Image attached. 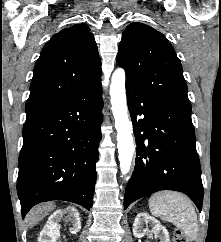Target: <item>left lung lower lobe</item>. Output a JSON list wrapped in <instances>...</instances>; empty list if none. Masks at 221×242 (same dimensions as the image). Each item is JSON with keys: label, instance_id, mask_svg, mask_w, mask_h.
<instances>
[{"label": "left lung lower lobe", "instance_id": "left-lung-lower-lobe-1", "mask_svg": "<svg viewBox=\"0 0 221 242\" xmlns=\"http://www.w3.org/2000/svg\"><path fill=\"white\" fill-rule=\"evenodd\" d=\"M126 94L137 148L124 208L153 192L175 190L201 211L203 185L191 112L162 103L127 80Z\"/></svg>", "mask_w": 221, "mask_h": 242}]
</instances>
